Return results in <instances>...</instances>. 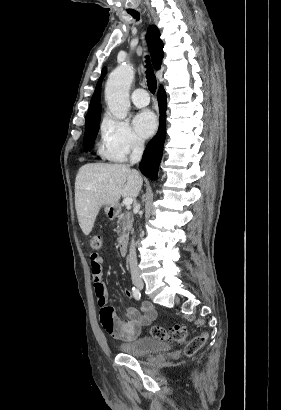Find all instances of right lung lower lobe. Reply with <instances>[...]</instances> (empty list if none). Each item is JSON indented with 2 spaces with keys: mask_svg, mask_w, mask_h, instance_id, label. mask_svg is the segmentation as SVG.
I'll return each instance as SVG.
<instances>
[{
  "mask_svg": "<svg viewBox=\"0 0 281 410\" xmlns=\"http://www.w3.org/2000/svg\"><path fill=\"white\" fill-rule=\"evenodd\" d=\"M160 112V125L157 134L149 141L139 168L141 172L152 180L157 179L158 167L162 158L163 145L166 137V93L160 87L157 94Z\"/></svg>",
  "mask_w": 281,
  "mask_h": 410,
  "instance_id": "98d812e1",
  "label": "right lung lower lobe"
}]
</instances>
